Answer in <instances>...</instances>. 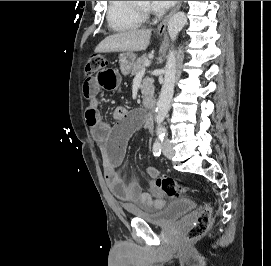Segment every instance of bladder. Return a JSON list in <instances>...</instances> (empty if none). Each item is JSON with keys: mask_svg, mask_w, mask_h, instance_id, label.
<instances>
[{"mask_svg": "<svg viewBox=\"0 0 271 266\" xmlns=\"http://www.w3.org/2000/svg\"><path fill=\"white\" fill-rule=\"evenodd\" d=\"M195 206V201L191 199H180L152 211L130 209V214L134 218L142 219L151 225L166 227L178 221Z\"/></svg>", "mask_w": 271, "mask_h": 266, "instance_id": "bladder-1", "label": "bladder"}]
</instances>
